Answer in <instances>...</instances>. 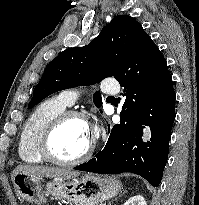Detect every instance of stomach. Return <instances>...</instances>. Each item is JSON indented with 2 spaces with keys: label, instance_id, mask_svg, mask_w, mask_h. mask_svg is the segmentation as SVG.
Returning a JSON list of instances; mask_svg holds the SVG:
<instances>
[{
  "label": "stomach",
  "instance_id": "0dacf381",
  "mask_svg": "<svg viewBox=\"0 0 199 205\" xmlns=\"http://www.w3.org/2000/svg\"><path fill=\"white\" fill-rule=\"evenodd\" d=\"M13 183L21 198L36 205H43L48 199L67 201L71 205H95L115 197L121 190V183L116 178L90 173L45 182L42 177L19 172Z\"/></svg>",
  "mask_w": 199,
  "mask_h": 205
}]
</instances>
